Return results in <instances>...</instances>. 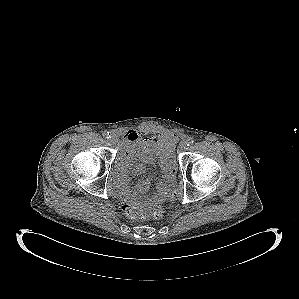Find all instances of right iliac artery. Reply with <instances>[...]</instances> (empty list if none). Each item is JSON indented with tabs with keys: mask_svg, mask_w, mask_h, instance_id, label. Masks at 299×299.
I'll return each mask as SVG.
<instances>
[{
	"mask_svg": "<svg viewBox=\"0 0 299 299\" xmlns=\"http://www.w3.org/2000/svg\"><path fill=\"white\" fill-rule=\"evenodd\" d=\"M103 137H105L107 139L110 138L109 132H106V131L103 132Z\"/></svg>",
	"mask_w": 299,
	"mask_h": 299,
	"instance_id": "right-iliac-artery-1",
	"label": "right iliac artery"
}]
</instances>
